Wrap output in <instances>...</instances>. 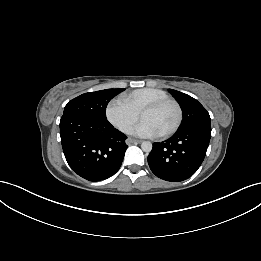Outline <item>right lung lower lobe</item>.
I'll return each instance as SVG.
<instances>
[{"instance_id":"1","label":"right lung lower lobe","mask_w":261,"mask_h":261,"mask_svg":"<svg viewBox=\"0 0 261 261\" xmlns=\"http://www.w3.org/2000/svg\"><path fill=\"white\" fill-rule=\"evenodd\" d=\"M60 136L69 166L82 178L100 181L120 168L127 145L126 136L107 120L63 114Z\"/></svg>"}]
</instances>
